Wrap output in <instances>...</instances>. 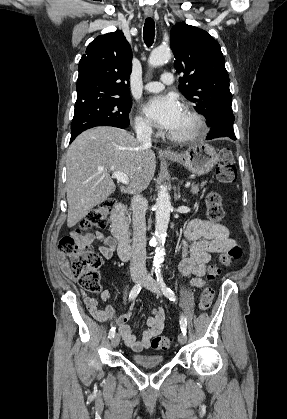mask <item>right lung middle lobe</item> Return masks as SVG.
I'll return each instance as SVG.
<instances>
[{
    "instance_id": "obj_1",
    "label": "right lung middle lobe",
    "mask_w": 287,
    "mask_h": 419,
    "mask_svg": "<svg viewBox=\"0 0 287 419\" xmlns=\"http://www.w3.org/2000/svg\"><path fill=\"white\" fill-rule=\"evenodd\" d=\"M131 105L130 97H121L99 100L75 108L71 137L96 126L128 127Z\"/></svg>"
}]
</instances>
